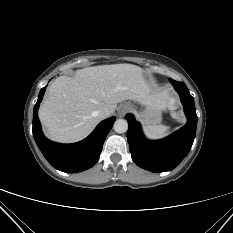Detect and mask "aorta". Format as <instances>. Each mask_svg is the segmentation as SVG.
<instances>
[{
    "label": "aorta",
    "instance_id": "762f6f07",
    "mask_svg": "<svg viewBox=\"0 0 233 233\" xmlns=\"http://www.w3.org/2000/svg\"><path fill=\"white\" fill-rule=\"evenodd\" d=\"M113 128L117 133H125L128 130V123L124 119H118L115 121Z\"/></svg>",
    "mask_w": 233,
    "mask_h": 233
}]
</instances>
